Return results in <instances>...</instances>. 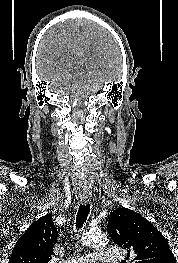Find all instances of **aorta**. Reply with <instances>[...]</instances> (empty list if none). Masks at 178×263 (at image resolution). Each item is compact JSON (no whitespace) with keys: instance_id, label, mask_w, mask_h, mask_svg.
Returning <instances> with one entry per match:
<instances>
[{"instance_id":"1","label":"aorta","mask_w":178,"mask_h":263,"mask_svg":"<svg viewBox=\"0 0 178 263\" xmlns=\"http://www.w3.org/2000/svg\"><path fill=\"white\" fill-rule=\"evenodd\" d=\"M82 242L90 246L101 247L108 243V238L102 232L89 231L83 235Z\"/></svg>"}]
</instances>
